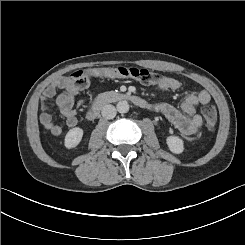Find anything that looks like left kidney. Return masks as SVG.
Returning <instances> with one entry per match:
<instances>
[{"instance_id": "left-kidney-1", "label": "left kidney", "mask_w": 245, "mask_h": 245, "mask_svg": "<svg viewBox=\"0 0 245 245\" xmlns=\"http://www.w3.org/2000/svg\"><path fill=\"white\" fill-rule=\"evenodd\" d=\"M168 149L173 154H182L185 150L184 140L178 135H169L165 139Z\"/></svg>"}]
</instances>
